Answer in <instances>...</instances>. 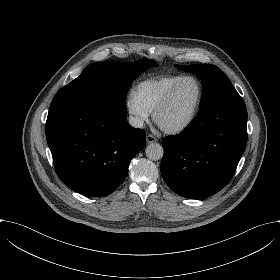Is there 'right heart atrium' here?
Segmentation results:
<instances>
[{"label": "right heart atrium", "instance_id": "1", "mask_svg": "<svg viewBox=\"0 0 280 280\" xmlns=\"http://www.w3.org/2000/svg\"><path fill=\"white\" fill-rule=\"evenodd\" d=\"M125 106L128 113L135 116L139 122L143 123L149 120L150 112L139 103L133 93L128 95Z\"/></svg>", "mask_w": 280, "mask_h": 280}]
</instances>
